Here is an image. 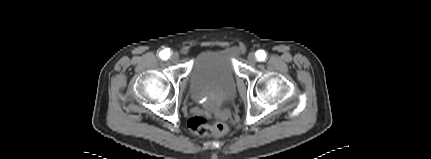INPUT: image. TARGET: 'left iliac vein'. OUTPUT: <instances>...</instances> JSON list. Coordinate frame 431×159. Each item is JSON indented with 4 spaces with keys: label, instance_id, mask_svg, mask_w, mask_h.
I'll return each instance as SVG.
<instances>
[{
    "label": "left iliac vein",
    "instance_id": "1",
    "mask_svg": "<svg viewBox=\"0 0 431 159\" xmlns=\"http://www.w3.org/2000/svg\"><path fill=\"white\" fill-rule=\"evenodd\" d=\"M248 61L251 63V64H254V63H256V61H257V58H256V55H255V53H249V55H248Z\"/></svg>",
    "mask_w": 431,
    "mask_h": 159
}]
</instances>
